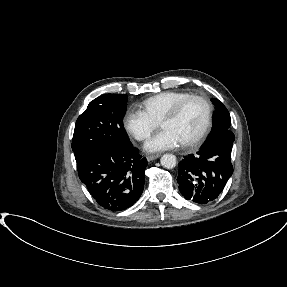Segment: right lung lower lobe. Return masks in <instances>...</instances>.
<instances>
[{
  "mask_svg": "<svg viewBox=\"0 0 287 287\" xmlns=\"http://www.w3.org/2000/svg\"><path fill=\"white\" fill-rule=\"evenodd\" d=\"M76 162L80 180L101 207L118 212L140 198L147 160L132 145L97 146L84 152Z\"/></svg>",
  "mask_w": 287,
  "mask_h": 287,
  "instance_id": "98d812e1",
  "label": "right lung lower lobe"
}]
</instances>
